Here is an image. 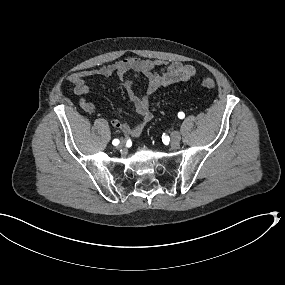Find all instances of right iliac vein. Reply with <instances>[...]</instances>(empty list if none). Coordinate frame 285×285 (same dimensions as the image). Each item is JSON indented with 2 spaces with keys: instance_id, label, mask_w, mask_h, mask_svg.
<instances>
[{
  "instance_id": "1",
  "label": "right iliac vein",
  "mask_w": 285,
  "mask_h": 285,
  "mask_svg": "<svg viewBox=\"0 0 285 285\" xmlns=\"http://www.w3.org/2000/svg\"><path fill=\"white\" fill-rule=\"evenodd\" d=\"M124 146V141L120 142V145L118 146V148H122Z\"/></svg>"
}]
</instances>
